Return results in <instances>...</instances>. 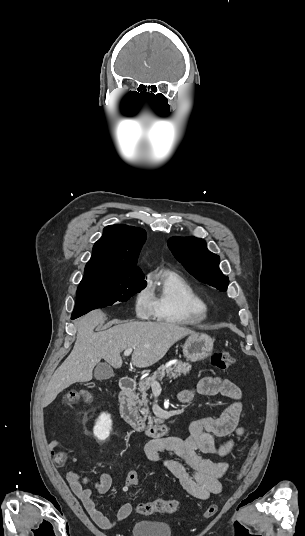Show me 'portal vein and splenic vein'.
Returning <instances> with one entry per match:
<instances>
[{"mask_svg":"<svg viewBox=\"0 0 305 536\" xmlns=\"http://www.w3.org/2000/svg\"><path fill=\"white\" fill-rule=\"evenodd\" d=\"M134 348H128V350H125L124 356H130L131 352H133ZM177 360H174L173 364H175ZM152 388H160V384L158 382H152L151 384Z\"/></svg>","mask_w":305,"mask_h":536,"instance_id":"18ae733b","label":"portal vein and splenic vein"}]
</instances>
